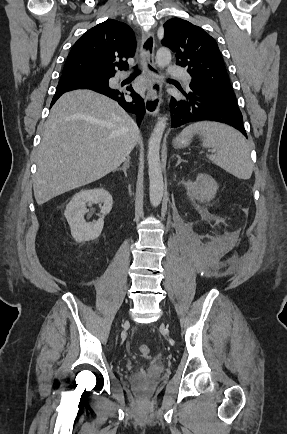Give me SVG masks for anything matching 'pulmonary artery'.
<instances>
[{"label": "pulmonary artery", "mask_w": 287, "mask_h": 434, "mask_svg": "<svg viewBox=\"0 0 287 434\" xmlns=\"http://www.w3.org/2000/svg\"><path fill=\"white\" fill-rule=\"evenodd\" d=\"M168 74L174 77H181L186 85H189L191 82V77L182 67L169 65Z\"/></svg>", "instance_id": "e3ab8cb5"}]
</instances>
